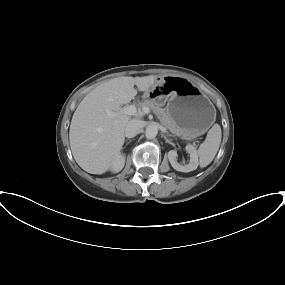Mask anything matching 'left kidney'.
Instances as JSON below:
<instances>
[{
  "label": "left kidney",
  "instance_id": "1",
  "mask_svg": "<svg viewBox=\"0 0 285 285\" xmlns=\"http://www.w3.org/2000/svg\"><path fill=\"white\" fill-rule=\"evenodd\" d=\"M186 151L190 155V162L187 165H181L177 162V151L176 150H171L168 152V159L172 167L180 172H190L198 167V153L196 148L193 145H187L186 146Z\"/></svg>",
  "mask_w": 285,
  "mask_h": 285
}]
</instances>
